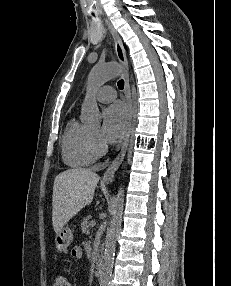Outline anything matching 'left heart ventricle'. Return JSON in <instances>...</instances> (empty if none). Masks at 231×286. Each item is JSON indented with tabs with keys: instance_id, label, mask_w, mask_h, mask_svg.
I'll return each instance as SVG.
<instances>
[{
	"instance_id": "left-heart-ventricle-1",
	"label": "left heart ventricle",
	"mask_w": 231,
	"mask_h": 286,
	"mask_svg": "<svg viewBox=\"0 0 231 286\" xmlns=\"http://www.w3.org/2000/svg\"><path fill=\"white\" fill-rule=\"evenodd\" d=\"M89 132L98 138V128H93V129H90Z\"/></svg>"
}]
</instances>
